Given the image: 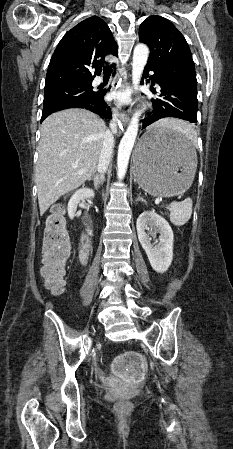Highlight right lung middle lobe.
<instances>
[{"mask_svg": "<svg viewBox=\"0 0 233 449\" xmlns=\"http://www.w3.org/2000/svg\"><path fill=\"white\" fill-rule=\"evenodd\" d=\"M91 84L66 85L45 91L43 112L72 102L92 100L97 93L93 91Z\"/></svg>", "mask_w": 233, "mask_h": 449, "instance_id": "1", "label": "right lung middle lobe"}]
</instances>
